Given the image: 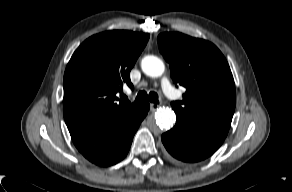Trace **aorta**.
I'll return each instance as SVG.
<instances>
[{
	"mask_svg": "<svg viewBox=\"0 0 292 192\" xmlns=\"http://www.w3.org/2000/svg\"><path fill=\"white\" fill-rule=\"evenodd\" d=\"M142 71L150 77H160L165 70L163 61L153 55L145 56L141 62ZM176 121L174 111L169 108H162L155 113V120H150L148 126L155 131L157 126L160 129H170Z\"/></svg>",
	"mask_w": 292,
	"mask_h": 192,
	"instance_id": "1",
	"label": "aorta"
}]
</instances>
